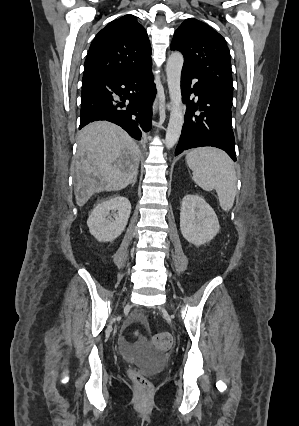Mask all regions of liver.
<instances>
[{
  "label": "liver",
  "instance_id": "1",
  "mask_svg": "<svg viewBox=\"0 0 299 426\" xmlns=\"http://www.w3.org/2000/svg\"><path fill=\"white\" fill-rule=\"evenodd\" d=\"M77 144L74 194L78 206L95 193L127 187L137 176L140 149L119 126L90 123L80 131Z\"/></svg>",
  "mask_w": 299,
  "mask_h": 426
}]
</instances>
